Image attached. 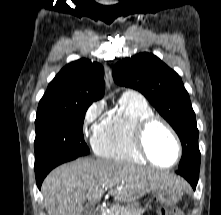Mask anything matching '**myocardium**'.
<instances>
[{"mask_svg": "<svg viewBox=\"0 0 221 215\" xmlns=\"http://www.w3.org/2000/svg\"><path fill=\"white\" fill-rule=\"evenodd\" d=\"M154 124H160L162 125L171 135V137L173 138L175 145H176V150H177V154H176V159L174 160V162L170 165H160L157 162H155L153 160V158L150 156L147 147H146V135L148 130L151 128V126H153ZM133 143L134 146L136 148V150L138 151V153L150 164L161 168V169H171L173 167H175L182 156V145H181V141L176 133V131L174 130V128L163 118L156 116V115H150L147 116L145 118H143L142 120H140L137 125L134 128V132H133Z\"/></svg>", "mask_w": 221, "mask_h": 215, "instance_id": "obj_1", "label": "myocardium"}]
</instances>
